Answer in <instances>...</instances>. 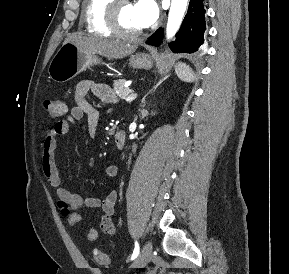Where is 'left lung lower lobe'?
Instances as JSON below:
<instances>
[{"instance_id":"left-lung-lower-lobe-1","label":"left lung lower lobe","mask_w":289,"mask_h":274,"mask_svg":"<svg viewBox=\"0 0 289 274\" xmlns=\"http://www.w3.org/2000/svg\"><path fill=\"white\" fill-rule=\"evenodd\" d=\"M205 8L203 0H190L185 19L176 35V40L169 44L170 49L177 53H194L204 42L206 30ZM163 38V28H159L146 44L159 46Z\"/></svg>"}]
</instances>
